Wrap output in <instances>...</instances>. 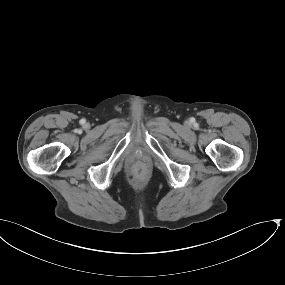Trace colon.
Listing matches in <instances>:
<instances>
[{
  "mask_svg": "<svg viewBox=\"0 0 285 285\" xmlns=\"http://www.w3.org/2000/svg\"><path fill=\"white\" fill-rule=\"evenodd\" d=\"M146 176V169L143 165H136L133 171L129 175V181L132 184H136L142 181Z\"/></svg>",
  "mask_w": 285,
  "mask_h": 285,
  "instance_id": "1",
  "label": "colon"
}]
</instances>
